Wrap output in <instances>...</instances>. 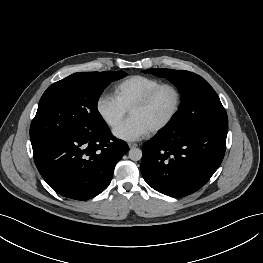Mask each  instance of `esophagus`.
I'll list each match as a JSON object with an SVG mask.
<instances>
[{"label": "esophagus", "mask_w": 263, "mask_h": 263, "mask_svg": "<svg viewBox=\"0 0 263 263\" xmlns=\"http://www.w3.org/2000/svg\"><path fill=\"white\" fill-rule=\"evenodd\" d=\"M128 146H129V148H135L138 146V144L130 142V143H128Z\"/></svg>", "instance_id": "esophagus-1"}]
</instances>
